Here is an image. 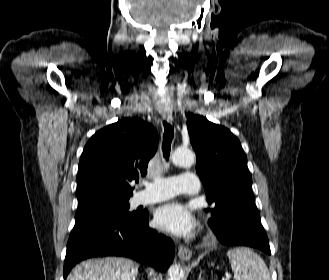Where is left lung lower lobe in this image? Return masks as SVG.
Returning a JSON list of instances; mask_svg holds the SVG:
<instances>
[{"instance_id": "1", "label": "left lung lower lobe", "mask_w": 329, "mask_h": 280, "mask_svg": "<svg viewBox=\"0 0 329 280\" xmlns=\"http://www.w3.org/2000/svg\"><path fill=\"white\" fill-rule=\"evenodd\" d=\"M217 238L228 246H250L271 254L266 232L259 221V212L251 198L240 202L227 215Z\"/></svg>"}]
</instances>
